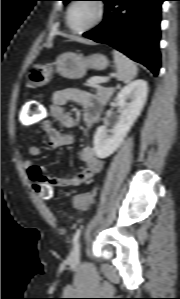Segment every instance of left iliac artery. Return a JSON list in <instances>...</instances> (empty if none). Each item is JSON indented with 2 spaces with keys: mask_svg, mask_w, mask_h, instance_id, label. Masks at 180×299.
Masks as SVG:
<instances>
[{
  "mask_svg": "<svg viewBox=\"0 0 180 299\" xmlns=\"http://www.w3.org/2000/svg\"><path fill=\"white\" fill-rule=\"evenodd\" d=\"M80 233H81V229H78L76 231V233L74 234V236H73V244L76 243V241L78 240V238L80 236Z\"/></svg>",
  "mask_w": 180,
  "mask_h": 299,
  "instance_id": "left-iliac-artery-1",
  "label": "left iliac artery"
}]
</instances>
